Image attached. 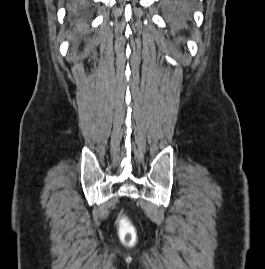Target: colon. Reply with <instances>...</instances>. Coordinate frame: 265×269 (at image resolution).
<instances>
[{"label": "colon", "instance_id": "5ec220e1", "mask_svg": "<svg viewBox=\"0 0 265 269\" xmlns=\"http://www.w3.org/2000/svg\"><path fill=\"white\" fill-rule=\"evenodd\" d=\"M120 231L124 242H130L134 238V228L125 217L120 218Z\"/></svg>", "mask_w": 265, "mask_h": 269}]
</instances>
